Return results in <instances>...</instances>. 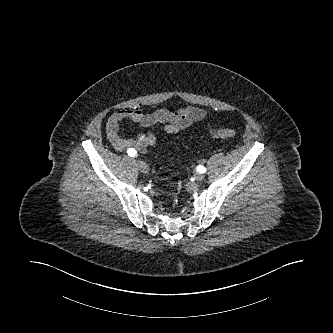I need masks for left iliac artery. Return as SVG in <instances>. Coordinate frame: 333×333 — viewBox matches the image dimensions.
Listing matches in <instances>:
<instances>
[{
  "label": "left iliac artery",
  "mask_w": 333,
  "mask_h": 333,
  "mask_svg": "<svg viewBox=\"0 0 333 333\" xmlns=\"http://www.w3.org/2000/svg\"><path fill=\"white\" fill-rule=\"evenodd\" d=\"M197 171L199 173H205L206 172V168L204 166H202V165H198L197 166Z\"/></svg>",
  "instance_id": "44dca946"
}]
</instances>
